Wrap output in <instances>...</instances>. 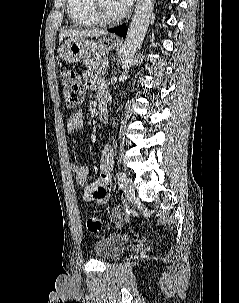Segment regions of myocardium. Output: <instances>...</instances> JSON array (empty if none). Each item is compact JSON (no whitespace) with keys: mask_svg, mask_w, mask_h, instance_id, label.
I'll use <instances>...</instances> for the list:
<instances>
[{"mask_svg":"<svg viewBox=\"0 0 239 303\" xmlns=\"http://www.w3.org/2000/svg\"><path fill=\"white\" fill-rule=\"evenodd\" d=\"M89 3H90L91 13L96 17V19L100 23H107V24L117 23L121 21L126 15L125 11L115 16L109 15L108 13H106L102 5V0H89Z\"/></svg>","mask_w":239,"mask_h":303,"instance_id":"obj_1","label":"myocardium"}]
</instances>
